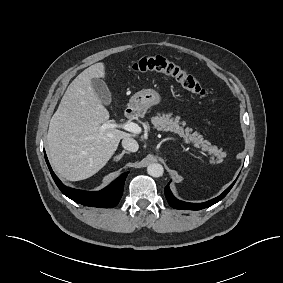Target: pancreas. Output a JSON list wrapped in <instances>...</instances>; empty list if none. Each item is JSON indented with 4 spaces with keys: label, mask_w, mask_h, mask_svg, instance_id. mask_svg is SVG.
Here are the masks:
<instances>
[{
    "label": "pancreas",
    "mask_w": 283,
    "mask_h": 283,
    "mask_svg": "<svg viewBox=\"0 0 283 283\" xmlns=\"http://www.w3.org/2000/svg\"><path fill=\"white\" fill-rule=\"evenodd\" d=\"M151 122L159 131H170L177 133L180 137H183L185 143H193L196 147H202L203 150H208L216 156H220L221 150H218L216 146H212L207 140H204L202 135L198 132H192V129H184L180 126L179 117L172 118L171 114H158L152 117ZM184 125V122L182 123Z\"/></svg>",
    "instance_id": "obj_1"
}]
</instances>
